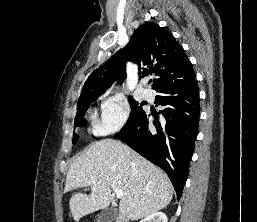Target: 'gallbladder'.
Wrapping results in <instances>:
<instances>
[{"label": "gallbladder", "mask_w": 257, "mask_h": 222, "mask_svg": "<svg viewBox=\"0 0 257 222\" xmlns=\"http://www.w3.org/2000/svg\"><path fill=\"white\" fill-rule=\"evenodd\" d=\"M118 216L116 208H105L98 215L96 222H112Z\"/></svg>", "instance_id": "1"}]
</instances>
